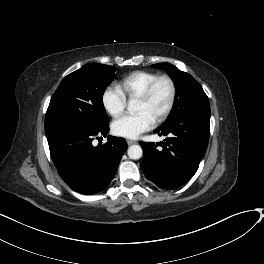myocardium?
Segmentation results:
<instances>
[{"label": "myocardium", "instance_id": "1", "mask_svg": "<svg viewBox=\"0 0 264 264\" xmlns=\"http://www.w3.org/2000/svg\"><path fill=\"white\" fill-rule=\"evenodd\" d=\"M168 82L170 86V97L169 101L165 107V109L162 111V113L154 120L155 123H161L163 122L171 113L175 101H176V95H177V88L174 80L169 75H160L157 76L155 79H153L148 86L144 89V91L137 97V100L140 101H147L151 98L157 84L161 81Z\"/></svg>", "mask_w": 264, "mask_h": 264}]
</instances>
